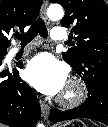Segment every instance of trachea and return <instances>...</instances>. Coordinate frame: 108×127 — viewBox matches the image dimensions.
Returning <instances> with one entry per match:
<instances>
[{"label":"trachea","instance_id":"3493384b","mask_svg":"<svg viewBox=\"0 0 108 127\" xmlns=\"http://www.w3.org/2000/svg\"><path fill=\"white\" fill-rule=\"evenodd\" d=\"M38 34L42 38H47L48 36L45 22L41 18H38L25 34H16L15 38L19 39L22 45H26L30 43Z\"/></svg>","mask_w":108,"mask_h":127}]
</instances>
